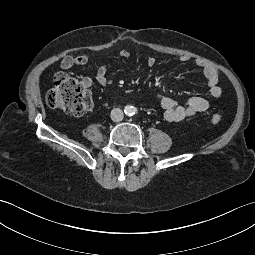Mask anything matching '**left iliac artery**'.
<instances>
[{"label": "left iliac artery", "instance_id": "44dca946", "mask_svg": "<svg viewBox=\"0 0 255 255\" xmlns=\"http://www.w3.org/2000/svg\"><path fill=\"white\" fill-rule=\"evenodd\" d=\"M136 113H137V109H134L132 114H136Z\"/></svg>", "mask_w": 255, "mask_h": 255}]
</instances>
